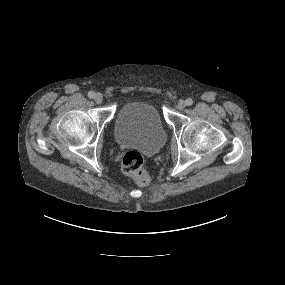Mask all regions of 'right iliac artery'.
<instances>
[{"mask_svg":"<svg viewBox=\"0 0 285 285\" xmlns=\"http://www.w3.org/2000/svg\"><path fill=\"white\" fill-rule=\"evenodd\" d=\"M94 96H95V92L94 91H89L88 92V97L89 98H94Z\"/></svg>","mask_w":285,"mask_h":285,"instance_id":"1","label":"right iliac artery"}]
</instances>
